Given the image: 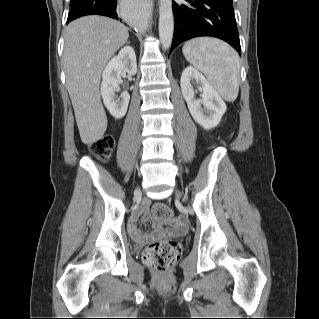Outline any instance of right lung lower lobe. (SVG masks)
<instances>
[{"mask_svg":"<svg viewBox=\"0 0 319 319\" xmlns=\"http://www.w3.org/2000/svg\"><path fill=\"white\" fill-rule=\"evenodd\" d=\"M116 7L117 0H78L70 7L67 24L86 15H103L119 20Z\"/></svg>","mask_w":319,"mask_h":319,"instance_id":"right-lung-lower-lobe-1","label":"right lung lower lobe"}]
</instances>
